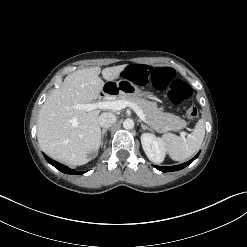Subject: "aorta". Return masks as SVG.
<instances>
[{"label":"aorta","mask_w":247,"mask_h":247,"mask_svg":"<svg viewBox=\"0 0 247 247\" xmlns=\"http://www.w3.org/2000/svg\"><path fill=\"white\" fill-rule=\"evenodd\" d=\"M123 127L125 129H133L134 128V121L130 118H127L123 122Z\"/></svg>","instance_id":"762f6f07"}]
</instances>
